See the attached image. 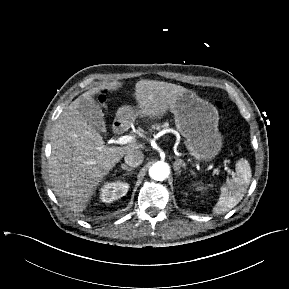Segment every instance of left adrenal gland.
I'll return each mask as SVG.
<instances>
[{
	"instance_id": "1",
	"label": "left adrenal gland",
	"mask_w": 289,
	"mask_h": 289,
	"mask_svg": "<svg viewBox=\"0 0 289 289\" xmlns=\"http://www.w3.org/2000/svg\"><path fill=\"white\" fill-rule=\"evenodd\" d=\"M185 163L183 162V160H181V159H176L175 160V162H174V164H173V167H174V171H176V173H178L179 175H180V173H181V170H180V168L181 167H183V168H185Z\"/></svg>"
}]
</instances>
